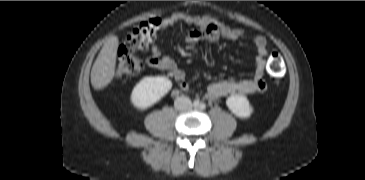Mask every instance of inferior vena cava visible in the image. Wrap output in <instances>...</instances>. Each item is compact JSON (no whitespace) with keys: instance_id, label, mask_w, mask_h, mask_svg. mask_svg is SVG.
Listing matches in <instances>:
<instances>
[{"instance_id":"602c4592","label":"inferior vena cava","mask_w":365,"mask_h":180,"mask_svg":"<svg viewBox=\"0 0 365 180\" xmlns=\"http://www.w3.org/2000/svg\"><path fill=\"white\" fill-rule=\"evenodd\" d=\"M174 106L178 110L189 109L192 106L191 100L188 97L181 96L176 98Z\"/></svg>"}]
</instances>
